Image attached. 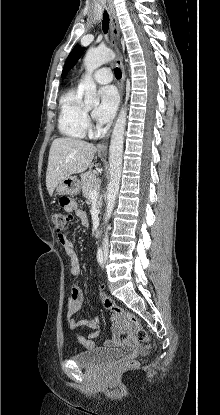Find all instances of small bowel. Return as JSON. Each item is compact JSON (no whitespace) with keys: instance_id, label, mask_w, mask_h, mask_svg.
<instances>
[{"instance_id":"1","label":"small bowel","mask_w":220,"mask_h":415,"mask_svg":"<svg viewBox=\"0 0 220 415\" xmlns=\"http://www.w3.org/2000/svg\"><path fill=\"white\" fill-rule=\"evenodd\" d=\"M65 209L69 212L75 213L81 222L84 225L89 224V220L85 212L78 207L76 204H69L65 207ZM59 243L64 248V251L67 255L68 262H69V273L72 276H78L80 273V262L79 257L74 249V246L67 235L63 233H59L57 235ZM83 301V294L78 285V282L74 281L69 286V303H68V310H67V321L69 328L71 330H76L82 326L88 327L92 330V332L88 335L79 334L77 336V340L80 344H82L87 349H94L96 344L93 342V338H97L101 334V330L99 328V320L97 317L84 319V320H77L75 318V314L80 310ZM116 320H118L115 317ZM119 326L114 327L113 329V339L111 341H106L105 346L112 347L117 346L123 343L122 339L118 336L117 330ZM130 343V341H128Z\"/></svg>"}]
</instances>
